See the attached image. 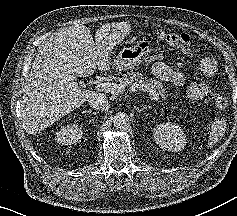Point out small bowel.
I'll list each match as a JSON object with an SVG mask.
<instances>
[{"instance_id":"obj_1","label":"small bowel","mask_w":237,"mask_h":216,"mask_svg":"<svg viewBox=\"0 0 237 216\" xmlns=\"http://www.w3.org/2000/svg\"><path fill=\"white\" fill-rule=\"evenodd\" d=\"M200 71L206 76H212L217 71V64L214 59L203 58L199 64ZM153 74L163 83L182 86L185 83L184 75L173 70L163 62H156L152 67ZM187 94L190 98L199 100L210 94V88L206 83H191L187 87Z\"/></svg>"}]
</instances>
